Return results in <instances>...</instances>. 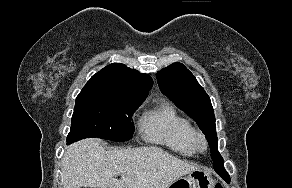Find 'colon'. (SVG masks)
Listing matches in <instances>:
<instances>
[{"mask_svg":"<svg viewBox=\"0 0 292 188\" xmlns=\"http://www.w3.org/2000/svg\"><path fill=\"white\" fill-rule=\"evenodd\" d=\"M215 188H223L222 183H217L216 186H215Z\"/></svg>","mask_w":292,"mask_h":188,"instance_id":"5ec220e1","label":"colon"}]
</instances>
